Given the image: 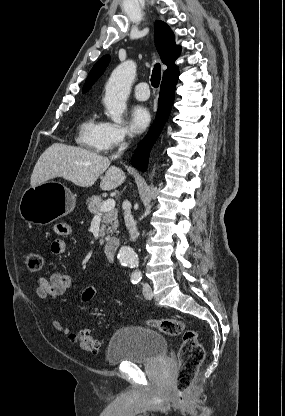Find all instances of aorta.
<instances>
[{"instance_id": "obj_1", "label": "aorta", "mask_w": 285, "mask_h": 416, "mask_svg": "<svg viewBox=\"0 0 285 416\" xmlns=\"http://www.w3.org/2000/svg\"><path fill=\"white\" fill-rule=\"evenodd\" d=\"M135 76L136 64L132 60H127L112 72L106 84L104 103L108 115L116 123L122 122V115L126 110V101ZM118 257L122 265L130 268L138 267V256L130 247H122ZM136 272L140 273L139 271Z\"/></svg>"}]
</instances>
